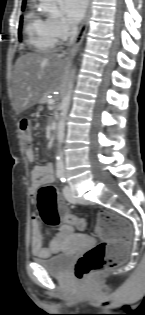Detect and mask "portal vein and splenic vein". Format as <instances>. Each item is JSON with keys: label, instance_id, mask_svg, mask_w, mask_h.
<instances>
[{"label": "portal vein and splenic vein", "instance_id": "1", "mask_svg": "<svg viewBox=\"0 0 145 315\" xmlns=\"http://www.w3.org/2000/svg\"><path fill=\"white\" fill-rule=\"evenodd\" d=\"M49 104H53L54 103V100L53 99H49Z\"/></svg>", "mask_w": 145, "mask_h": 315}]
</instances>
